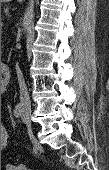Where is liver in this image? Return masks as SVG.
I'll use <instances>...</instances> for the list:
<instances>
[{"mask_svg": "<svg viewBox=\"0 0 109 170\" xmlns=\"http://www.w3.org/2000/svg\"><path fill=\"white\" fill-rule=\"evenodd\" d=\"M11 0H1V2H10ZM18 2H22L23 0H17Z\"/></svg>", "mask_w": 109, "mask_h": 170, "instance_id": "1", "label": "liver"}]
</instances>
